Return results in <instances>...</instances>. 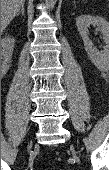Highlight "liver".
<instances>
[{"label":"liver","mask_w":109,"mask_h":170,"mask_svg":"<svg viewBox=\"0 0 109 170\" xmlns=\"http://www.w3.org/2000/svg\"><path fill=\"white\" fill-rule=\"evenodd\" d=\"M25 0H1V29L4 30L20 10Z\"/></svg>","instance_id":"liver-1"}]
</instances>
